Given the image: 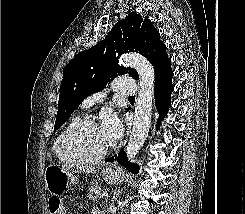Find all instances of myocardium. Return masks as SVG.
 I'll list each match as a JSON object with an SVG mask.
<instances>
[{"instance_id":"myocardium-1","label":"myocardium","mask_w":245,"mask_h":214,"mask_svg":"<svg viewBox=\"0 0 245 214\" xmlns=\"http://www.w3.org/2000/svg\"><path fill=\"white\" fill-rule=\"evenodd\" d=\"M88 126H98L96 121L92 119H81L79 122L74 124L64 135L61 142V150L66 158L74 163L78 164H94L102 161L110 153V148L105 150L103 153L89 157L79 154L73 146L75 136L84 128Z\"/></svg>"}]
</instances>
